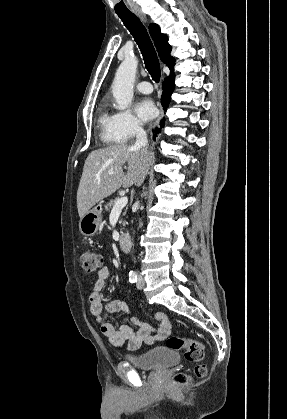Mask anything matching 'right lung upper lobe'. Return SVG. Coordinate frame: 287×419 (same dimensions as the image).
<instances>
[{
	"mask_svg": "<svg viewBox=\"0 0 287 419\" xmlns=\"http://www.w3.org/2000/svg\"><path fill=\"white\" fill-rule=\"evenodd\" d=\"M149 31L161 60L166 63L170 69H173L175 60L170 56L171 46L168 44V37L160 32V28L156 24H150Z\"/></svg>",
	"mask_w": 287,
	"mask_h": 419,
	"instance_id": "right-lung-upper-lobe-1",
	"label": "right lung upper lobe"
}]
</instances>
